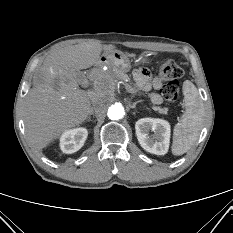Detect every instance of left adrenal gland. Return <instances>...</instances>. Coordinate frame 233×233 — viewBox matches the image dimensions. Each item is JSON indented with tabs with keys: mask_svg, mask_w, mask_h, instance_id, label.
I'll return each instance as SVG.
<instances>
[{
	"mask_svg": "<svg viewBox=\"0 0 233 233\" xmlns=\"http://www.w3.org/2000/svg\"><path fill=\"white\" fill-rule=\"evenodd\" d=\"M141 100L134 102L132 105H129L130 109H134L138 103H140Z\"/></svg>",
	"mask_w": 233,
	"mask_h": 233,
	"instance_id": "a2214340",
	"label": "left adrenal gland"
}]
</instances>
